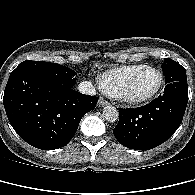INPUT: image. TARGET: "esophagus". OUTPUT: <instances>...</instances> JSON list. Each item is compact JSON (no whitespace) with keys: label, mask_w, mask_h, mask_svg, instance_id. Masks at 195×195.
Instances as JSON below:
<instances>
[{"label":"esophagus","mask_w":195,"mask_h":195,"mask_svg":"<svg viewBox=\"0 0 195 195\" xmlns=\"http://www.w3.org/2000/svg\"><path fill=\"white\" fill-rule=\"evenodd\" d=\"M108 101H106L104 98L100 97L98 102H97V106L99 107H104L106 105H108Z\"/></svg>","instance_id":"1"}]
</instances>
